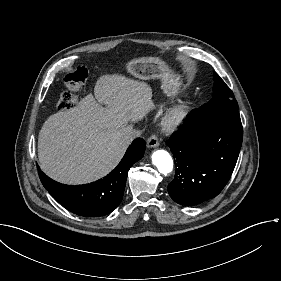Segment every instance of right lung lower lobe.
Here are the masks:
<instances>
[{"label":"right lung lower lobe","mask_w":281,"mask_h":281,"mask_svg":"<svg viewBox=\"0 0 281 281\" xmlns=\"http://www.w3.org/2000/svg\"><path fill=\"white\" fill-rule=\"evenodd\" d=\"M144 151L145 141L141 138L136 139L109 175L86 186H66L53 181L39 168L38 173L46 190L66 209L85 217L104 216L120 204L128 171L143 157Z\"/></svg>","instance_id":"obj_1"}]
</instances>
